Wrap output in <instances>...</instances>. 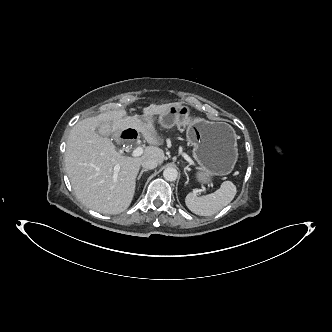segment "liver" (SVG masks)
<instances>
[{"label":"liver","mask_w":332,"mask_h":332,"mask_svg":"<svg viewBox=\"0 0 332 332\" xmlns=\"http://www.w3.org/2000/svg\"><path fill=\"white\" fill-rule=\"evenodd\" d=\"M172 105L183 104H151L139 117H127L125 109L108 111L83 119L71 129L65 168L76 196L85 206L103 214H118L129 207L142 161L154 159L159 165L164 162V151L158 147L162 139L157 134L153 116L166 114ZM99 127L107 135L134 128L149 146L140 157L122 156L109 138L96 132ZM116 165L120 166L118 172L114 171Z\"/></svg>","instance_id":"liver-1"}]
</instances>
